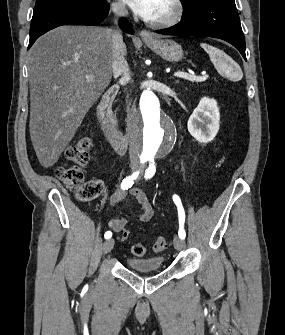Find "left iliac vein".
Segmentation results:
<instances>
[{"instance_id": "left-iliac-vein-1", "label": "left iliac vein", "mask_w": 285, "mask_h": 335, "mask_svg": "<svg viewBox=\"0 0 285 335\" xmlns=\"http://www.w3.org/2000/svg\"><path fill=\"white\" fill-rule=\"evenodd\" d=\"M174 247L177 251H181L185 248V241L181 239L180 237L176 236L174 237Z\"/></svg>"}]
</instances>
